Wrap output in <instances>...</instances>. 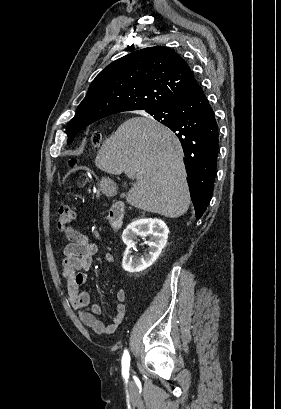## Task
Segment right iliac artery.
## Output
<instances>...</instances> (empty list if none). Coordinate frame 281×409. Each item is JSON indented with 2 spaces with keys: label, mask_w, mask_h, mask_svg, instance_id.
Masks as SVG:
<instances>
[{
  "label": "right iliac artery",
  "mask_w": 281,
  "mask_h": 409,
  "mask_svg": "<svg viewBox=\"0 0 281 409\" xmlns=\"http://www.w3.org/2000/svg\"><path fill=\"white\" fill-rule=\"evenodd\" d=\"M129 365H130V356H129L128 351H125L122 357V373L124 377L128 376Z\"/></svg>",
  "instance_id": "right-iliac-artery-1"
}]
</instances>
